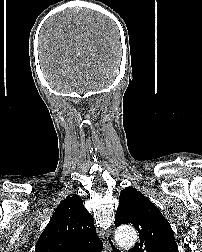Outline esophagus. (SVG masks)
Instances as JSON below:
<instances>
[{
	"label": "esophagus",
	"instance_id": "obj_1",
	"mask_svg": "<svg viewBox=\"0 0 202 252\" xmlns=\"http://www.w3.org/2000/svg\"><path fill=\"white\" fill-rule=\"evenodd\" d=\"M107 249L109 252H122L121 248L115 243L111 231L107 234Z\"/></svg>",
	"mask_w": 202,
	"mask_h": 252
}]
</instances>
